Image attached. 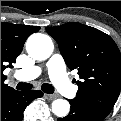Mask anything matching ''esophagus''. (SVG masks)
Masks as SVG:
<instances>
[{
  "instance_id": "esophagus-1",
  "label": "esophagus",
  "mask_w": 121,
  "mask_h": 121,
  "mask_svg": "<svg viewBox=\"0 0 121 121\" xmlns=\"http://www.w3.org/2000/svg\"><path fill=\"white\" fill-rule=\"evenodd\" d=\"M44 96H45V98L46 99H48V100H53V99H55L56 98V96L55 95H51V94H44Z\"/></svg>"
}]
</instances>
